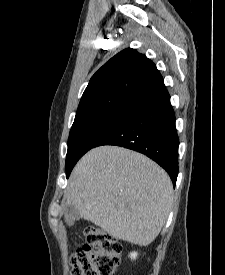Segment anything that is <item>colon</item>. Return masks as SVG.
Listing matches in <instances>:
<instances>
[{"mask_svg": "<svg viewBox=\"0 0 225 275\" xmlns=\"http://www.w3.org/2000/svg\"><path fill=\"white\" fill-rule=\"evenodd\" d=\"M84 234L87 244L71 256L72 275H113L120 263V242L94 226L87 227Z\"/></svg>", "mask_w": 225, "mask_h": 275, "instance_id": "1", "label": "colon"}]
</instances>
